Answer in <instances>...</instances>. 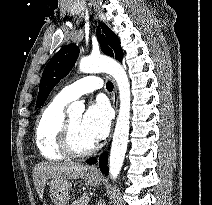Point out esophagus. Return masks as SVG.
I'll list each match as a JSON object with an SVG mask.
<instances>
[{
	"label": "esophagus",
	"mask_w": 212,
	"mask_h": 205,
	"mask_svg": "<svg viewBox=\"0 0 212 205\" xmlns=\"http://www.w3.org/2000/svg\"><path fill=\"white\" fill-rule=\"evenodd\" d=\"M112 103H113V107L116 110V112L118 111V92H117V87L116 84H114V91H113V95H112ZM92 174H98L99 171L97 168H94L91 170Z\"/></svg>",
	"instance_id": "34e87169"
}]
</instances>
